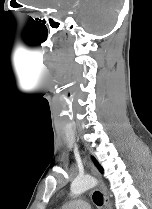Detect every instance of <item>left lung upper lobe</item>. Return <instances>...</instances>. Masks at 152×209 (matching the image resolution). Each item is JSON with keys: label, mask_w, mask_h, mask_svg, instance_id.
Instances as JSON below:
<instances>
[{"label": "left lung upper lobe", "mask_w": 152, "mask_h": 209, "mask_svg": "<svg viewBox=\"0 0 152 209\" xmlns=\"http://www.w3.org/2000/svg\"><path fill=\"white\" fill-rule=\"evenodd\" d=\"M93 161H94L95 165L97 166V168L102 172L103 169H102V167L98 164V162H97L94 158H93Z\"/></svg>", "instance_id": "left-lung-upper-lobe-1"}]
</instances>
